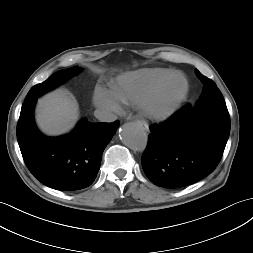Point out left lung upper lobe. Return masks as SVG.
Returning a JSON list of instances; mask_svg holds the SVG:
<instances>
[{
    "label": "left lung upper lobe",
    "instance_id": "left-lung-upper-lobe-1",
    "mask_svg": "<svg viewBox=\"0 0 253 253\" xmlns=\"http://www.w3.org/2000/svg\"><path fill=\"white\" fill-rule=\"evenodd\" d=\"M195 74L204 86L199 102L193 107L202 108L209 104H225V100L215 83L211 79L203 76L197 69L195 70Z\"/></svg>",
    "mask_w": 253,
    "mask_h": 253
}]
</instances>
